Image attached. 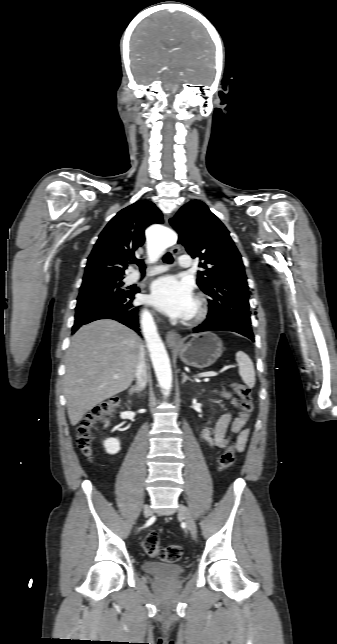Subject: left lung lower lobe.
I'll return each mask as SVG.
<instances>
[{"label": "left lung lower lobe", "mask_w": 337, "mask_h": 644, "mask_svg": "<svg viewBox=\"0 0 337 644\" xmlns=\"http://www.w3.org/2000/svg\"><path fill=\"white\" fill-rule=\"evenodd\" d=\"M232 331L239 333L252 341H254V334L251 329H247L240 325H237L229 320L222 318H208L203 322V324L195 327L193 329L194 333L204 332V331Z\"/></svg>", "instance_id": "obj_1"}]
</instances>
